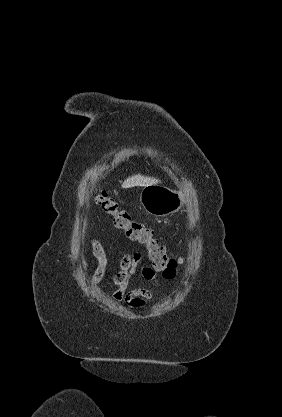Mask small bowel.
Masks as SVG:
<instances>
[{
  "mask_svg": "<svg viewBox=\"0 0 282 417\" xmlns=\"http://www.w3.org/2000/svg\"><path fill=\"white\" fill-rule=\"evenodd\" d=\"M92 254L97 261V267L92 275V284L98 285L104 278L108 258L103 245L96 239L91 240ZM80 262L82 270L86 271L89 267L88 259L85 255L80 254ZM140 255L125 254L120 260V270L114 277V289L112 291L113 299L118 303H124L133 309H139L146 305V302L153 298L154 291L148 288L129 289V281L131 277L140 271L141 275L153 285L158 286L159 280L156 277L153 268L148 266H139Z\"/></svg>",
  "mask_w": 282,
  "mask_h": 417,
  "instance_id": "small-bowel-1",
  "label": "small bowel"
}]
</instances>
